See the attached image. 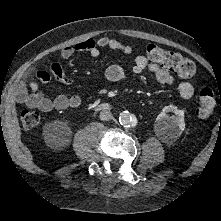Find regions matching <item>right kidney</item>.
Returning <instances> with one entry per match:
<instances>
[{"label": "right kidney", "mask_w": 221, "mask_h": 221, "mask_svg": "<svg viewBox=\"0 0 221 221\" xmlns=\"http://www.w3.org/2000/svg\"><path fill=\"white\" fill-rule=\"evenodd\" d=\"M45 138L53 145H64L71 135V130L66 123L54 121L46 124L43 129Z\"/></svg>", "instance_id": "1"}]
</instances>
